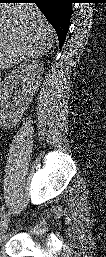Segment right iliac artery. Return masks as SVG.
I'll list each match as a JSON object with an SVG mask.
<instances>
[{
	"label": "right iliac artery",
	"instance_id": "obj_1",
	"mask_svg": "<svg viewBox=\"0 0 106 257\" xmlns=\"http://www.w3.org/2000/svg\"><path fill=\"white\" fill-rule=\"evenodd\" d=\"M0 211H1L0 212V217H1V222H2V220H3L4 216H5V207H4V205L1 207Z\"/></svg>",
	"mask_w": 106,
	"mask_h": 257
}]
</instances>
